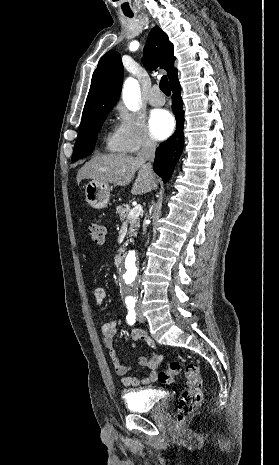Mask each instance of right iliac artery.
<instances>
[{
  "label": "right iliac artery",
  "instance_id": "82829eb1",
  "mask_svg": "<svg viewBox=\"0 0 279 465\" xmlns=\"http://www.w3.org/2000/svg\"><path fill=\"white\" fill-rule=\"evenodd\" d=\"M128 315L126 317L128 324L133 325L136 322V313L134 306L128 307Z\"/></svg>",
  "mask_w": 279,
  "mask_h": 465
}]
</instances>
